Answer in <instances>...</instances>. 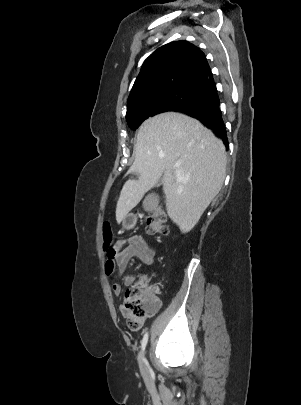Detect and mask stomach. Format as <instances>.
I'll use <instances>...</instances> for the list:
<instances>
[{
	"mask_svg": "<svg viewBox=\"0 0 301 405\" xmlns=\"http://www.w3.org/2000/svg\"><path fill=\"white\" fill-rule=\"evenodd\" d=\"M135 220H136L135 216L132 214H129L124 218L123 223H124V225H129V224H132Z\"/></svg>",
	"mask_w": 301,
	"mask_h": 405,
	"instance_id": "stomach-1",
	"label": "stomach"
}]
</instances>
